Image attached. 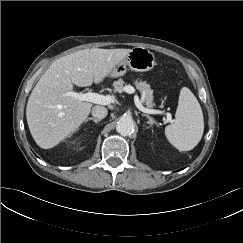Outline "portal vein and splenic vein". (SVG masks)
Segmentation results:
<instances>
[{"mask_svg": "<svg viewBox=\"0 0 243 243\" xmlns=\"http://www.w3.org/2000/svg\"><path fill=\"white\" fill-rule=\"evenodd\" d=\"M124 91L129 93V94H134L136 92L135 88L133 86L127 85L124 87ZM67 95L70 97H73L75 99H77L79 102L81 101H87V102H91V103H95V104H101V105H109L111 103L114 102L115 97L111 96V95H100L97 93H93V92H87V93H77L74 91H69L67 92ZM134 102L135 105L137 106V108L144 112V113H149V114H162L164 113L163 111L160 110H155V109H148L145 108L142 105V102L139 100V97L137 94L134 95ZM167 116V120L172 123V116L170 113H165Z\"/></svg>", "mask_w": 243, "mask_h": 243, "instance_id": "18ae733b", "label": "portal vein and splenic vein"}]
</instances>
